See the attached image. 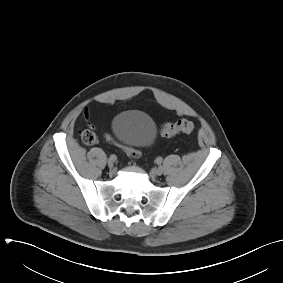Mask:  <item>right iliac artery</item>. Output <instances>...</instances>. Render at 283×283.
Wrapping results in <instances>:
<instances>
[{"label": "right iliac artery", "mask_w": 283, "mask_h": 283, "mask_svg": "<svg viewBox=\"0 0 283 283\" xmlns=\"http://www.w3.org/2000/svg\"><path fill=\"white\" fill-rule=\"evenodd\" d=\"M109 159L114 162V161H116L117 157H116V155L113 154V155L110 156Z\"/></svg>", "instance_id": "82829eb1"}]
</instances>
